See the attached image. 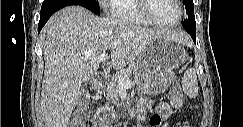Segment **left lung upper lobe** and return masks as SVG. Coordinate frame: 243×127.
Wrapping results in <instances>:
<instances>
[{"label": "left lung upper lobe", "mask_w": 243, "mask_h": 127, "mask_svg": "<svg viewBox=\"0 0 243 127\" xmlns=\"http://www.w3.org/2000/svg\"><path fill=\"white\" fill-rule=\"evenodd\" d=\"M183 3L186 6V12L188 15V19L184 20L183 26L196 27V22L194 18L193 0H183Z\"/></svg>", "instance_id": "obj_1"}]
</instances>
